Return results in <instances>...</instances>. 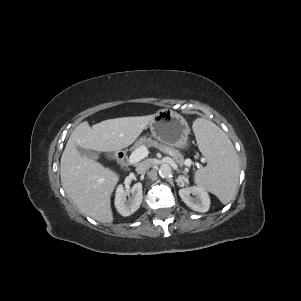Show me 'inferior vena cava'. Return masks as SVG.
<instances>
[{
  "mask_svg": "<svg viewBox=\"0 0 301 301\" xmlns=\"http://www.w3.org/2000/svg\"><path fill=\"white\" fill-rule=\"evenodd\" d=\"M150 167H151V162L149 160H145L137 165L136 172L138 174H143L147 170H149Z\"/></svg>",
  "mask_w": 301,
  "mask_h": 301,
  "instance_id": "obj_1",
  "label": "inferior vena cava"
}]
</instances>
